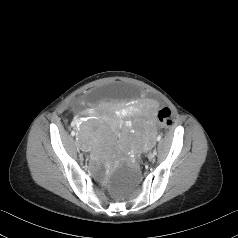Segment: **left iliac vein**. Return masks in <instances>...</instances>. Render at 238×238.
<instances>
[{
	"label": "left iliac vein",
	"instance_id": "4c4485c4",
	"mask_svg": "<svg viewBox=\"0 0 238 238\" xmlns=\"http://www.w3.org/2000/svg\"><path fill=\"white\" fill-rule=\"evenodd\" d=\"M153 144L155 145V142H154ZM156 152H157V149H153V153H151V154L149 155V158H150L151 160H154L155 155L157 154Z\"/></svg>",
	"mask_w": 238,
	"mask_h": 238
}]
</instances>
